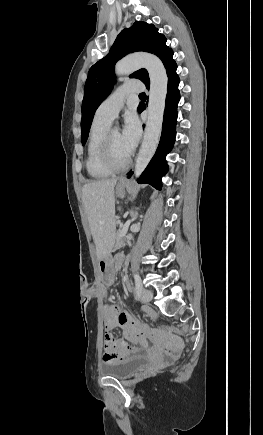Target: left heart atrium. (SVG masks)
Returning a JSON list of instances; mask_svg holds the SVG:
<instances>
[{
  "label": "left heart atrium",
  "instance_id": "left-heart-atrium-1",
  "mask_svg": "<svg viewBox=\"0 0 263 435\" xmlns=\"http://www.w3.org/2000/svg\"><path fill=\"white\" fill-rule=\"evenodd\" d=\"M141 137V127L138 118L134 114H128L125 118L121 139L126 150L131 153L137 146Z\"/></svg>",
  "mask_w": 263,
  "mask_h": 435
}]
</instances>
